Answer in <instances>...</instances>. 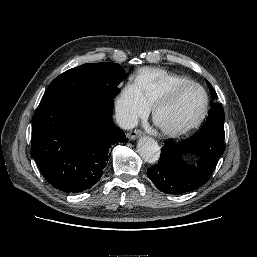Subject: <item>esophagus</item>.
Here are the masks:
<instances>
[{
	"mask_svg": "<svg viewBox=\"0 0 257 257\" xmlns=\"http://www.w3.org/2000/svg\"><path fill=\"white\" fill-rule=\"evenodd\" d=\"M139 136H141V131L138 129L132 130L127 134V137L130 140H135L136 138H138Z\"/></svg>",
	"mask_w": 257,
	"mask_h": 257,
	"instance_id": "34e87169",
	"label": "esophagus"
}]
</instances>
